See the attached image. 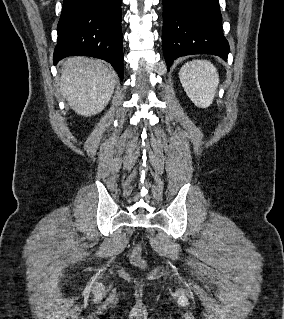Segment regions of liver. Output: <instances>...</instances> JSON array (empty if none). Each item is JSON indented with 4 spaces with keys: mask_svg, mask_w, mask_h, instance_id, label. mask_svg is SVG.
Masks as SVG:
<instances>
[{
    "mask_svg": "<svg viewBox=\"0 0 284 319\" xmlns=\"http://www.w3.org/2000/svg\"><path fill=\"white\" fill-rule=\"evenodd\" d=\"M60 91L79 115L100 113L110 101L116 73L103 61L82 56L67 58L62 64Z\"/></svg>",
    "mask_w": 284,
    "mask_h": 319,
    "instance_id": "liver-1",
    "label": "liver"
}]
</instances>
